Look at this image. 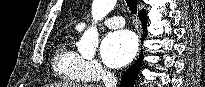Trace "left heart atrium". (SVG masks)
<instances>
[{"label": "left heart atrium", "instance_id": "39dd6f15", "mask_svg": "<svg viewBox=\"0 0 205 87\" xmlns=\"http://www.w3.org/2000/svg\"><path fill=\"white\" fill-rule=\"evenodd\" d=\"M138 43L136 36L128 30L109 33L101 45V57L110 67H122L136 56Z\"/></svg>", "mask_w": 205, "mask_h": 87}]
</instances>
